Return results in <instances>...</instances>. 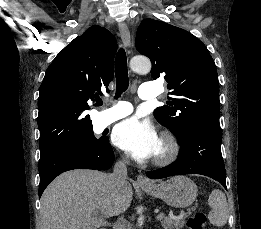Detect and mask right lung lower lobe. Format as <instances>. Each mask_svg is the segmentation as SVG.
I'll return each instance as SVG.
<instances>
[{
  "mask_svg": "<svg viewBox=\"0 0 261 229\" xmlns=\"http://www.w3.org/2000/svg\"><path fill=\"white\" fill-rule=\"evenodd\" d=\"M114 158L109 142L97 149L61 150L40 158L39 197L59 174L72 169L107 170L112 166Z\"/></svg>",
  "mask_w": 261,
  "mask_h": 229,
  "instance_id": "right-lung-lower-lobe-1",
  "label": "right lung lower lobe"
}]
</instances>
